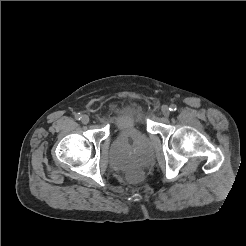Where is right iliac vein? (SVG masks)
<instances>
[{"instance_id": "obj_1", "label": "right iliac vein", "mask_w": 246, "mask_h": 246, "mask_svg": "<svg viewBox=\"0 0 246 246\" xmlns=\"http://www.w3.org/2000/svg\"><path fill=\"white\" fill-rule=\"evenodd\" d=\"M81 121L83 124H88L89 121H90V118L88 115H83L82 118H81Z\"/></svg>"}]
</instances>
